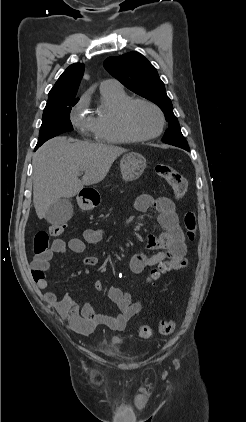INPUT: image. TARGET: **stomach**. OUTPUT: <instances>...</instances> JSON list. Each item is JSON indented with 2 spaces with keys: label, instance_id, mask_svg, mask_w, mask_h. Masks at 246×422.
Listing matches in <instances>:
<instances>
[{
  "label": "stomach",
  "instance_id": "1",
  "mask_svg": "<svg viewBox=\"0 0 246 422\" xmlns=\"http://www.w3.org/2000/svg\"><path fill=\"white\" fill-rule=\"evenodd\" d=\"M145 167L146 159L140 153L130 152L124 155L120 161L122 179L126 182L138 179L142 175ZM80 204L84 209L93 207V203L90 199H84Z\"/></svg>",
  "mask_w": 246,
  "mask_h": 422
}]
</instances>
